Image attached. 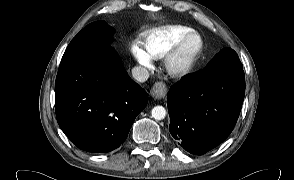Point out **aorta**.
Segmentation results:
<instances>
[{
	"label": "aorta",
	"mask_w": 294,
	"mask_h": 180,
	"mask_svg": "<svg viewBox=\"0 0 294 180\" xmlns=\"http://www.w3.org/2000/svg\"><path fill=\"white\" fill-rule=\"evenodd\" d=\"M151 115L155 120H162L166 116V110L163 106H155L152 111Z\"/></svg>",
	"instance_id": "1"
}]
</instances>
